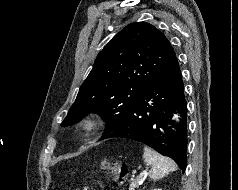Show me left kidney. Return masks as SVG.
Segmentation results:
<instances>
[{
  "label": "left kidney",
  "mask_w": 238,
  "mask_h": 190,
  "mask_svg": "<svg viewBox=\"0 0 238 190\" xmlns=\"http://www.w3.org/2000/svg\"><path fill=\"white\" fill-rule=\"evenodd\" d=\"M153 190H162V189H153Z\"/></svg>",
  "instance_id": "1"
}]
</instances>
